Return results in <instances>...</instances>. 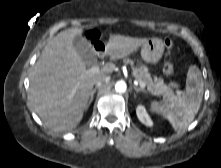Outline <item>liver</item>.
I'll return each mask as SVG.
<instances>
[{
	"label": "liver",
	"instance_id": "6515ba94",
	"mask_svg": "<svg viewBox=\"0 0 221 168\" xmlns=\"http://www.w3.org/2000/svg\"><path fill=\"white\" fill-rule=\"evenodd\" d=\"M83 30L61 31L44 47L30 77L29 100L36 114L53 131H69L83 118L96 81L111 74L115 65L106 63L99 72L86 70L73 40ZM147 38L111 35L106 45L110 60L125 58L147 42Z\"/></svg>",
	"mask_w": 221,
	"mask_h": 168
}]
</instances>
